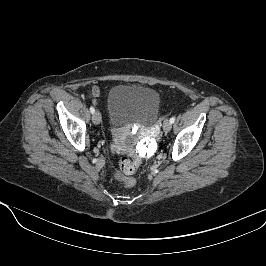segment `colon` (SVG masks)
I'll return each instance as SVG.
<instances>
[{
	"instance_id": "colon-1",
	"label": "colon",
	"mask_w": 266,
	"mask_h": 266,
	"mask_svg": "<svg viewBox=\"0 0 266 266\" xmlns=\"http://www.w3.org/2000/svg\"><path fill=\"white\" fill-rule=\"evenodd\" d=\"M141 163V156L135 153L129 157H122L114 173V178L124 187H133L136 183L132 174L135 173Z\"/></svg>"
}]
</instances>
